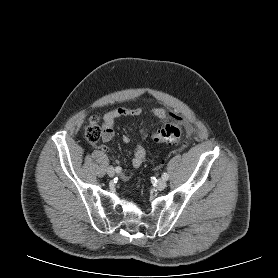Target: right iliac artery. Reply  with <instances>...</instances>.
I'll return each instance as SVG.
<instances>
[{"mask_svg":"<svg viewBox=\"0 0 278 278\" xmlns=\"http://www.w3.org/2000/svg\"><path fill=\"white\" fill-rule=\"evenodd\" d=\"M115 171L119 173V172H121V168L120 167H116Z\"/></svg>","mask_w":278,"mask_h":278,"instance_id":"obj_1","label":"right iliac artery"}]
</instances>
